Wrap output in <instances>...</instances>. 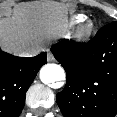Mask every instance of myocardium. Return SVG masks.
<instances>
[{
    "label": "myocardium",
    "mask_w": 117,
    "mask_h": 117,
    "mask_svg": "<svg viewBox=\"0 0 117 117\" xmlns=\"http://www.w3.org/2000/svg\"><path fill=\"white\" fill-rule=\"evenodd\" d=\"M91 31H92V24L88 23L81 29L80 34L81 36H86V35H89Z\"/></svg>",
    "instance_id": "1"
}]
</instances>
